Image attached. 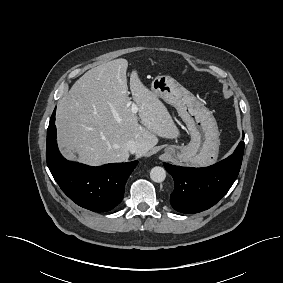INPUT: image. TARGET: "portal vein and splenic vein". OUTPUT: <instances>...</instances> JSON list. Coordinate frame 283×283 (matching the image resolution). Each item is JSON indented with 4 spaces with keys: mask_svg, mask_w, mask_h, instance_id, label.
<instances>
[{
    "mask_svg": "<svg viewBox=\"0 0 283 283\" xmlns=\"http://www.w3.org/2000/svg\"><path fill=\"white\" fill-rule=\"evenodd\" d=\"M131 104V111L132 113L136 114L137 112L140 111L139 107L133 102V103H130Z\"/></svg>",
    "mask_w": 283,
    "mask_h": 283,
    "instance_id": "1",
    "label": "portal vein and splenic vein"
}]
</instances>
